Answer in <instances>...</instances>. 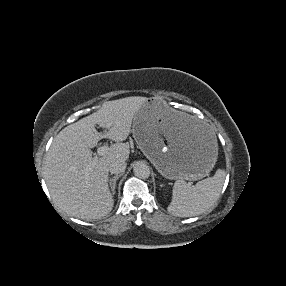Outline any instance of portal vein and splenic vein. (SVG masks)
<instances>
[{
	"label": "portal vein and splenic vein",
	"mask_w": 286,
	"mask_h": 286,
	"mask_svg": "<svg viewBox=\"0 0 286 286\" xmlns=\"http://www.w3.org/2000/svg\"><path fill=\"white\" fill-rule=\"evenodd\" d=\"M109 151V147L108 146H100L97 150L98 155L103 156L105 154H107Z\"/></svg>",
	"instance_id": "1"
}]
</instances>
